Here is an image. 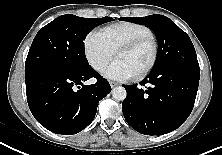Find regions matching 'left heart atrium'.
Listing matches in <instances>:
<instances>
[{
    "instance_id": "left-heart-atrium-1",
    "label": "left heart atrium",
    "mask_w": 222,
    "mask_h": 155,
    "mask_svg": "<svg viewBox=\"0 0 222 155\" xmlns=\"http://www.w3.org/2000/svg\"><path fill=\"white\" fill-rule=\"evenodd\" d=\"M106 77L118 80L125 81L134 77L132 70L120 59L113 61L104 71Z\"/></svg>"
}]
</instances>
